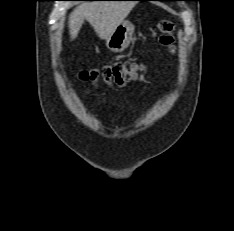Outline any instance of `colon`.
Masks as SVG:
<instances>
[{
	"label": "colon",
	"instance_id": "1",
	"mask_svg": "<svg viewBox=\"0 0 234 231\" xmlns=\"http://www.w3.org/2000/svg\"><path fill=\"white\" fill-rule=\"evenodd\" d=\"M171 28L172 26L170 23H161L160 42L165 46H171L173 44V38L170 35ZM143 71L144 66L141 64L116 62L106 65L101 69L85 71L81 74V78L86 81L102 80L121 86L130 80H137L140 78Z\"/></svg>",
	"mask_w": 234,
	"mask_h": 231
}]
</instances>
